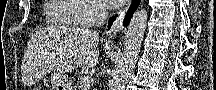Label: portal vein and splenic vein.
I'll use <instances>...</instances> for the list:
<instances>
[{"instance_id": "1", "label": "portal vein and splenic vein", "mask_w": 216, "mask_h": 90, "mask_svg": "<svg viewBox=\"0 0 216 90\" xmlns=\"http://www.w3.org/2000/svg\"><path fill=\"white\" fill-rule=\"evenodd\" d=\"M91 84H92L91 78H83L81 90H88V88H91Z\"/></svg>"}]
</instances>
